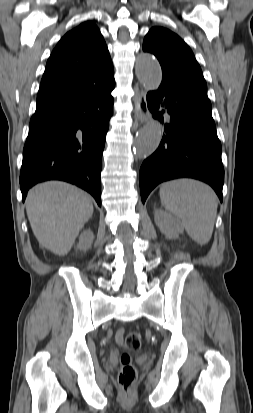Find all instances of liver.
Returning a JSON list of instances; mask_svg holds the SVG:
<instances>
[{
    "label": "liver",
    "instance_id": "6515ba94",
    "mask_svg": "<svg viewBox=\"0 0 253 413\" xmlns=\"http://www.w3.org/2000/svg\"><path fill=\"white\" fill-rule=\"evenodd\" d=\"M26 212L39 244L58 256L72 248L84 224L93 215L90 195L60 181L32 188L26 200Z\"/></svg>",
    "mask_w": 253,
    "mask_h": 413
}]
</instances>
